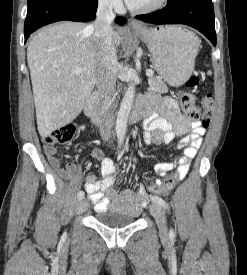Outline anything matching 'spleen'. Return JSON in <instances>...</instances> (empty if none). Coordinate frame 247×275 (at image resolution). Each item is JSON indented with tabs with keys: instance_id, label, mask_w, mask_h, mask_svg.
Here are the masks:
<instances>
[{
	"instance_id": "3e777b00",
	"label": "spleen",
	"mask_w": 247,
	"mask_h": 275,
	"mask_svg": "<svg viewBox=\"0 0 247 275\" xmlns=\"http://www.w3.org/2000/svg\"><path fill=\"white\" fill-rule=\"evenodd\" d=\"M195 42H196V46H197V48H198V46H199V39L197 38ZM209 73H210V72H209Z\"/></svg>"
}]
</instances>
